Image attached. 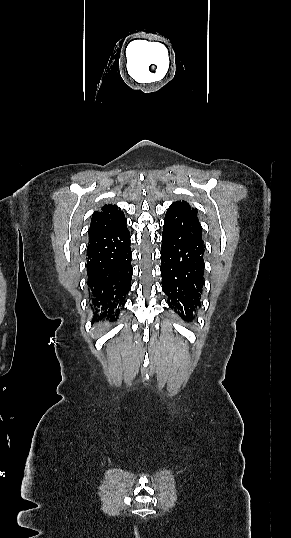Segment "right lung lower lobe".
Returning a JSON list of instances; mask_svg holds the SVG:
<instances>
[{
  "mask_svg": "<svg viewBox=\"0 0 291 538\" xmlns=\"http://www.w3.org/2000/svg\"><path fill=\"white\" fill-rule=\"evenodd\" d=\"M127 221L89 235L87 284L96 316L117 318L131 288L132 266Z\"/></svg>",
  "mask_w": 291,
  "mask_h": 538,
  "instance_id": "1",
  "label": "right lung lower lobe"
}]
</instances>
